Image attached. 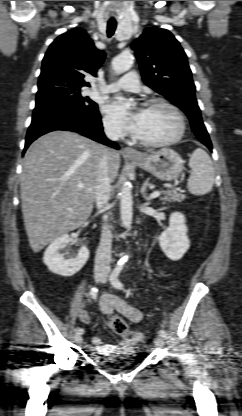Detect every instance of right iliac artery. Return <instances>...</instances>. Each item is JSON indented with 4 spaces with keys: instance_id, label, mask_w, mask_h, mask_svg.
I'll return each mask as SVG.
<instances>
[{
    "instance_id": "obj_1",
    "label": "right iliac artery",
    "mask_w": 242,
    "mask_h": 416,
    "mask_svg": "<svg viewBox=\"0 0 242 416\" xmlns=\"http://www.w3.org/2000/svg\"><path fill=\"white\" fill-rule=\"evenodd\" d=\"M89 294H90L91 298L95 299L97 297V295H98V289L96 287L91 288ZM77 332L79 334H83L84 333V330L82 328H78L77 329Z\"/></svg>"
}]
</instances>
